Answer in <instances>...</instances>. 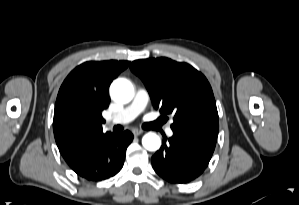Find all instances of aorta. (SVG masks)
Returning <instances> with one entry per match:
<instances>
[{
	"label": "aorta",
	"instance_id": "762f6f07",
	"mask_svg": "<svg viewBox=\"0 0 299 205\" xmlns=\"http://www.w3.org/2000/svg\"><path fill=\"white\" fill-rule=\"evenodd\" d=\"M110 95L117 102L128 103L134 96V89L130 81L120 78L111 84ZM142 145L148 151H156L161 146V139L157 134L149 132L143 136Z\"/></svg>",
	"mask_w": 299,
	"mask_h": 205
}]
</instances>
